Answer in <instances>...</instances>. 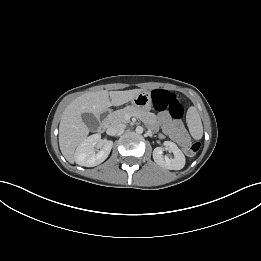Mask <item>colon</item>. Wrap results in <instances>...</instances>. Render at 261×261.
Returning a JSON list of instances; mask_svg holds the SVG:
<instances>
[{
	"mask_svg": "<svg viewBox=\"0 0 261 261\" xmlns=\"http://www.w3.org/2000/svg\"><path fill=\"white\" fill-rule=\"evenodd\" d=\"M153 105L156 110L166 112L174 119H180L184 115V107L177 100L176 96L166 90H154L152 92ZM200 148L198 142L189 143L184 147L187 156H194Z\"/></svg>",
	"mask_w": 261,
	"mask_h": 261,
	"instance_id": "colon-1",
	"label": "colon"
}]
</instances>
